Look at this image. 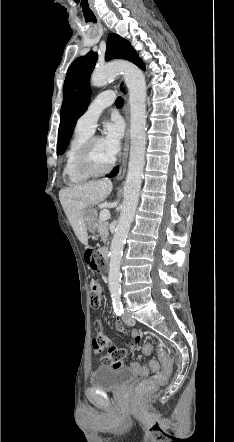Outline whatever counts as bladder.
I'll return each mask as SVG.
<instances>
[{
	"mask_svg": "<svg viewBox=\"0 0 234 442\" xmlns=\"http://www.w3.org/2000/svg\"><path fill=\"white\" fill-rule=\"evenodd\" d=\"M137 377L132 367L101 365L90 376L91 386L103 390H118L131 383Z\"/></svg>",
	"mask_w": 234,
	"mask_h": 442,
	"instance_id": "31cf9c89",
	"label": "bladder"
}]
</instances>
